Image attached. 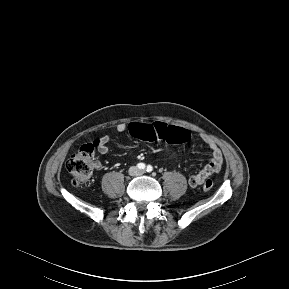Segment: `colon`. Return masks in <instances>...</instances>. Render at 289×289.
I'll use <instances>...</instances> for the list:
<instances>
[{
    "mask_svg": "<svg viewBox=\"0 0 289 289\" xmlns=\"http://www.w3.org/2000/svg\"><path fill=\"white\" fill-rule=\"evenodd\" d=\"M133 137L149 141L165 140L169 143H182L189 139V132L183 128L168 126L164 121L153 123L134 122L129 127ZM98 147V140L82 145L67 161L66 168L77 186H83L90 180L95 165V151ZM213 181L208 179L203 184V189L208 191L213 187Z\"/></svg>",
    "mask_w": 289,
    "mask_h": 289,
    "instance_id": "1",
    "label": "colon"
}]
</instances>
